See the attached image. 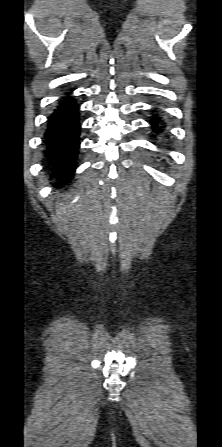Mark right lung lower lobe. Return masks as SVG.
Wrapping results in <instances>:
<instances>
[{"label":"right lung lower lobe","mask_w":222,"mask_h":447,"mask_svg":"<svg viewBox=\"0 0 222 447\" xmlns=\"http://www.w3.org/2000/svg\"><path fill=\"white\" fill-rule=\"evenodd\" d=\"M80 130L79 105L68 93L49 115L44 134V152L52 167V176L60 179V186L75 172Z\"/></svg>","instance_id":"1"}]
</instances>
